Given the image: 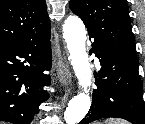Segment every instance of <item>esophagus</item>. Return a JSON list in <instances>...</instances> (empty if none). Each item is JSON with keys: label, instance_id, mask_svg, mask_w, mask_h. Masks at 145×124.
<instances>
[{"label": "esophagus", "instance_id": "1", "mask_svg": "<svg viewBox=\"0 0 145 124\" xmlns=\"http://www.w3.org/2000/svg\"><path fill=\"white\" fill-rule=\"evenodd\" d=\"M59 81L63 86L71 85V73L66 63L58 62L57 64Z\"/></svg>", "mask_w": 145, "mask_h": 124}]
</instances>
